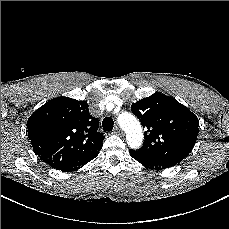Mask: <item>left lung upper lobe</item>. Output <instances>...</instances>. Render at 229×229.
I'll list each match as a JSON object with an SVG mask.
<instances>
[{
  "label": "left lung upper lobe",
  "mask_w": 229,
  "mask_h": 229,
  "mask_svg": "<svg viewBox=\"0 0 229 229\" xmlns=\"http://www.w3.org/2000/svg\"><path fill=\"white\" fill-rule=\"evenodd\" d=\"M131 110L146 128L143 146L131 153L149 160L181 162L192 151L199 120L176 99L155 93L133 103Z\"/></svg>",
  "instance_id": "1"
}]
</instances>
